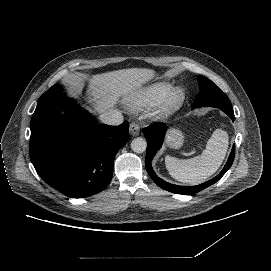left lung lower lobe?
Instances as JSON below:
<instances>
[{
    "instance_id": "0a47b994",
    "label": "left lung lower lobe",
    "mask_w": 271,
    "mask_h": 271,
    "mask_svg": "<svg viewBox=\"0 0 271 271\" xmlns=\"http://www.w3.org/2000/svg\"><path fill=\"white\" fill-rule=\"evenodd\" d=\"M222 111L225 112L232 119V121H234L233 110H222ZM166 129L167 127L161 123L153 124L144 129V135L148 141L145 158V167L152 180L162 189L176 194L194 195L200 192L201 190L207 188L208 186L216 183L231 167L235 157V145H233L228 161L225 164L222 171L211 180L192 187H183L165 182L154 173L151 167V160L163 143Z\"/></svg>"
}]
</instances>
